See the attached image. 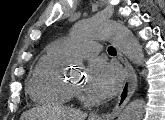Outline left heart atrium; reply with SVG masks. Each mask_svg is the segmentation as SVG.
<instances>
[{"label":"left heart atrium","mask_w":165,"mask_h":120,"mask_svg":"<svg viewBox=\"0 0 165 120\" xmlns=\"http://www.w3.org/2000/svg\"><path fill=\"white\" fill-rule=\"evenodd\" d=\"M122 81V73L118 66L104 60H95L88 69L86 89L100 98L114 95Z\"/></svg>","instance_id":"left-heart-atrium-1"}]
</instances>
